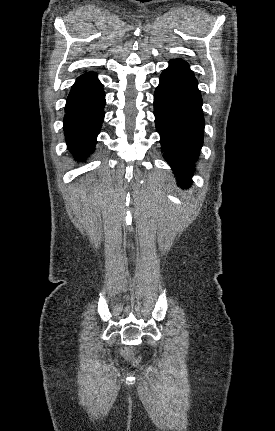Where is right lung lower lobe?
<instances>
[{
  "label": "right lung lower lobe",
  "mask_w": 275,
  "mask_h": 431,
  "mask_svg": "<svg viewBox=\"0 0 275 431\" xmlns=\"http://www.w3.org/2000/svg\"><path fill=\"white\" fill-rule=\"evenodd\" d=\"M105 93L93 72L77 78L65 106L63 122L68 150L77 160L94 151L104 120Z\"/></svg>",
  "instance_id": "obj_1"
}]
</instances>
